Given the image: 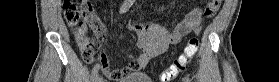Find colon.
<instances>
[{"instance_id": "colon-1", "label": "colon", "mask_w": 279, "mask_h": 82, "mask_svg": "<svg viewBox=\"0 0 279 82\" xmlns=\"http://www.w3.org/2000/svg\"><path fill=\"white\" fill-rule=\"evenodd\" d=\"M221 0L209 1L211 5H219ZM63 15L67 24L78 31V37L86 33L87 27H98L100 20L90 3L86 0H63ZM199 40L197 37L190 38L180 56L176 57L167 68L160 74V82H170L179 73L183 72L191 58L197 52ZM90 48H86L82 55L88 59ZM118 77V74H114Z\"/></svg>"}]
</instances>
